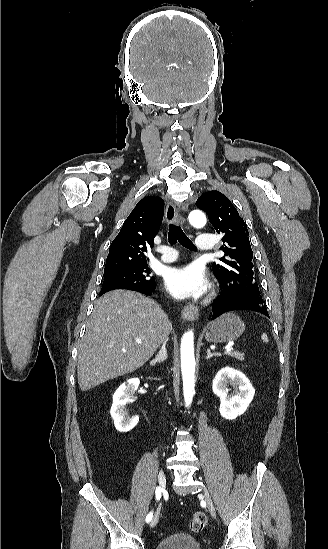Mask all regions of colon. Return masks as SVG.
Segmentation results:
<instances>
[{"label":"colon","mask_w":328,"mask_h":549,"mask_svg":"<svg viewBox=\"0 0 328 549\" xmlns=\"http://www.w3.org/2000/svg\"><path fill=\"white\" fill-rule=\"evenodd\" d=\"M207 524V517L203 512L194 513L191 521L190 528L194 532H201Z\"/></svg>","instance_id":"colon-1"}]
</instances>
